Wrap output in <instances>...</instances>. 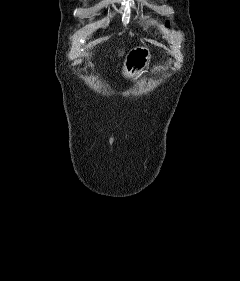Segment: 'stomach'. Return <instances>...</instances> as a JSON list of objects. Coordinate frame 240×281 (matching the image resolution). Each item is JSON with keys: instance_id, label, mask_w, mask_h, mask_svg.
<instances>
[{"instance_id": "1", "label": "stomach", "mask_w": 240, "mask_h": 281, "mask_svg": "<svg viewBox=\"0 0 240 281\" xmlns=\"http://www.w3.org/2000/svg\"><path fill=\"white\" fill-rule=\"evenodd\" d=\"M151 58V51L146 46L133 47L125 56L121 76L123 79L135 82L146 72Z\"/></svg>"}]
</instances>
